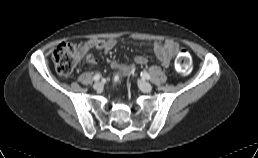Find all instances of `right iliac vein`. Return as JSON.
Wrapping results in <instances>:
<instances>
[{"mask_svg": "<svg viewBox=\"0 0 258 158\" xmlns=\"http://www.w3.org/2000/svg\"><path fill=\"white\" fill-rule=\"evenodd\" d=\"M93 88L97 91L101 90L103 88V84L101 82H96L94 85H93Z\"/></svg>", "mask_w": 258, "mask_h": 158, "instance_id": "obj_1", "label": "right iliac vein"}]
</instances>
